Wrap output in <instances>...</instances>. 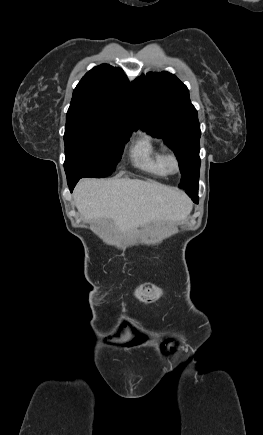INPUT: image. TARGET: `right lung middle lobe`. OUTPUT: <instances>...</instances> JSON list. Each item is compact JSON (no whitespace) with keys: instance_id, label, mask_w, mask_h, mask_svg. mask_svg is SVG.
Listing matches in <instances>:
<instances>
[{"instance_id":"obj_1","label":"right lung middle lobe","mask_w":263,"mask_h":435,"mask_svg":"<svg viewBox=\"0 0 263 435\" xmlns=\"http://www.w3.org/2000/svg\"><path fill=\"white\" fill-rule=\"evenodd\" d=\"M132 130L84 114L66 116L64 169L67 180L102 178L113 173Z\"/></svg>"}]
</instances>
